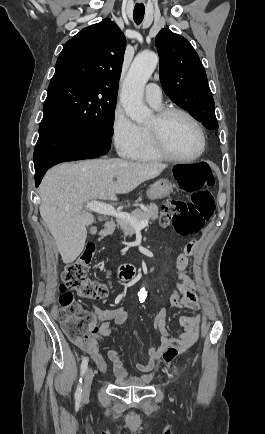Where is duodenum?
I'll return each instance as SVG.
<instances>
[{
	"label": "duodenum",
	"instance_id": "obj_1",
	"mask_svg": "<svg viewBox=\"0 0 265 434\" xmlns=\"http://www.w3.org/2000/svg\"><path fill=\"white\" fill-rule=\"evenodd\" d=\"M113 229L114 226L112 223H105L99 228L98 233L100 235L109 234ZM117 273L121 279L126 281H133L136 278L134 267L131 265H120L117 269Z\"/></svg>",
	"mask_w": 265,
	"mask_h": 434
}]
</instances>
